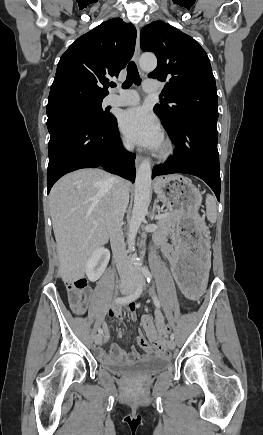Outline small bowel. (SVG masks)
Here are the masks:
<instances>
[{"instance_id": "small-bowel-1", "label": "small bowel", "mask_w": 263, "mask_h": 435, "mask_svg": "<svg viewBox=\"0 0 263 435\" xmlns=\"http://www.w3.org/2000/svg\"><path fill=\"white\" fill-rule=\"evenodd\" d=\"M159 242L162 246V251L169 261L172 269V273L174 269H177L176 264L179 260H181V256L178 251L170 244L163 242L162 239H159ZM135 306L131 304L128 308V317L131 321H136L137 316L134 312ZM109 316L112 318L121 319L124 315L120 306L112 307L109 312ZM142 325L146 330L148 337L151 341H149L139 333L136 337L137 343L140 348L143 350L144 354H141L135 347H132L129 352L123 350L117 344L111 343L109 344L108 350L99 348L96 351L97 358L104 362H134L141 358L154 355H163L165 353L166 344L164 343V335L165 332V321L164 317L161 313L157 312L154 317L146 314L141 319ZM101 329L104 332L105 341L108 342L110 338V333L108 326L105 322H101ZM119 336L122 337V331L119 332Z\"/></svg>"}]
</instances>
